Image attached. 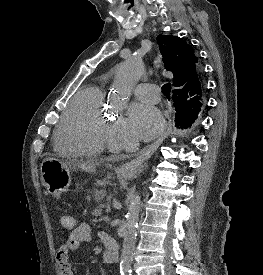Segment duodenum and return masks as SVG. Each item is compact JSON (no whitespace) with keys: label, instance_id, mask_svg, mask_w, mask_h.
Masks as SVG:
<instances>
[{"label":"duodenum","instance_id":"duodenum-1","mask_svg":"<svg viewBox=\"0 0 263 275\" xmlns=\"http://www.w3.org/2000/svg\"><path fill=\"white\" fill-rule=\"evenodd\" d=\"M103 242L105 245L104 261L107 263H115L119 260V245L109 235H103Z\"/></svg>","mask_w":263,"mask_h":275}]
</instances>
